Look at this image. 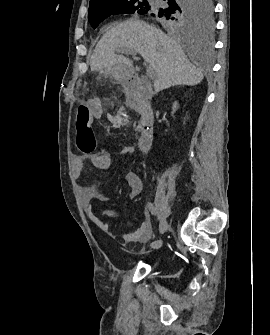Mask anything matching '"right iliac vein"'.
<instances>
[{
	"mask_svg": "<svg viewBox=\"0 0 270 335\" xmlns=\"http://www.w3.org/2000/svg\"><path fill=\"white\" fill-rule=\"evenodd\" d=\"M169 228V224L165 219H162L160 226H159V233L163 234Z\"/></svg>",
	"mask_w": 270,
	"mask_h": 335,
	"instance_id": "obj_1",
	"label": "right iliac vein"
}]
</instances>
